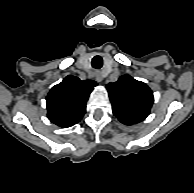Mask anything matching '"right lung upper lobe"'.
Here are the masks:
<instances>
[{"instance_id":"1","label":"right lung upper lobe","mask_w":194,"mask_h":193,"mask_svg":"<svg viewBox=\"0 0 194 193\" xmlns=\"http://www.w3.org/2000/svg\"><path fill=\"white\" fill-rule=\"evenodd\" d=\"M93 80L81 81L69 75L49 92L48 118L59 127L67 128L79 122L85 111L88 97L96 86Z\"/></svg>"}]
</instances>
